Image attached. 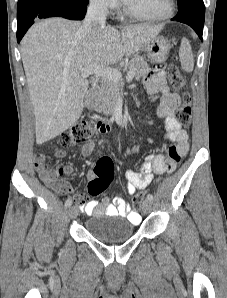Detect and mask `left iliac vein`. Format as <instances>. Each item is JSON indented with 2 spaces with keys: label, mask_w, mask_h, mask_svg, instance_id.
<instances>
[{
  "label": "left iliac vein",
  "mask_w": 227,
  "mask_h": 298,
  "mask_svg": "<svg viewBox=\"0 0 227 298\" xmlns=\"http://www.w3.org/2000/svg\"><path fill=\"white\" fill-rule=\"evenodd\" d=\"M151 209H152V200L146 199L143 202L142 210L145 214H148L150 213Z\"/></svg>",
  "instance_id": "1"
}]
</instances>
